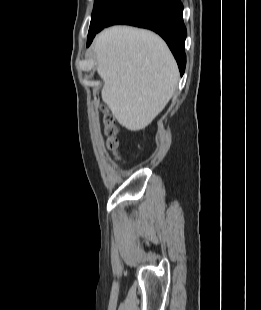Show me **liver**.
Masks as SVG:
<instances>
[{"mask_svg":"<svg viewBox=\"0 0 261 310\" xmlns=\"http://www.w3.org/2000/svg\"><path fill=\"white\" fill-rule=\"evenodd\" d=\"M102 97L118 123L131 131L146 128L173 96L179 71L166 43L155 33L113 26L94 41Z\"/></svg>","mask_w":261,"mask_h":310,"instance_id":"6515ba94","label":"liver"}]
</instances>
